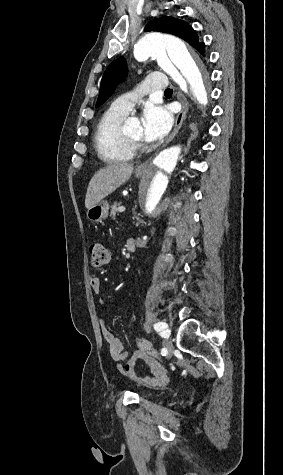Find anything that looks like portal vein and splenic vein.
<instances>
[{
  "mask_svg": "<svg viewBox=\"0 0 283 475\" xmlns=\"http://www.w3.org/2000/svg\"><path fill=\"white\" fill-rule=\"evenodd\" d=\"M126 208H124V206H121V208H119V212H125Z\"/></svg>",
  "mask_w": 283,
  "mask_h": 475,
  "instance_id": "obj_1",
  "label": "portal vein and splenic vein"
}]
</instances>
